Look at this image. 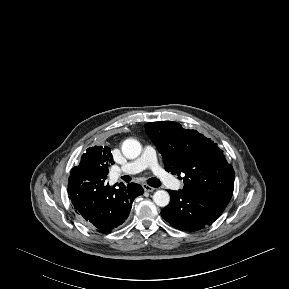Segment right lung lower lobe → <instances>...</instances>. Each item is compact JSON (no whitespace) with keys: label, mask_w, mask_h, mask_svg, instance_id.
Returning a JSON list of instances; mask_svg holds the SVG:
<instances>
[{"label":"right lung lower lobe","mask_w":289,"mask_h":289,"mask_svg":"<svg viewBox=\"0 0 289 289\" xmlns=\"http://www.w3.org/2000/svg\"><path fill=\"white\" fill-rule=\"evenodd\" d=\"M105 179L76 168L68 179V194L76 212L89 228L102 234L121 225L129 216L133 200L144 192L136 183L115 189L104 184Z\"/></svg>","instance_id":"right-lung-lower-lobe-1"}]
</instances>
